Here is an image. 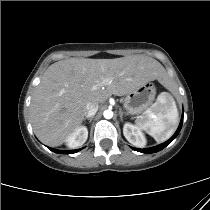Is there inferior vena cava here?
I'll return each instance as SVG.
<instances>
[{"label": "inferior vena cava", "instance_id": "inferior-vena-cava-1", "mask_svg": "<svg viewBox=\"0 0 210 210\" xmlns=\"http://www.w3.org/2000/svg\"><path fill=\"white\" fill-rule=\"evenodd\" d=\"M98 104L94 103V102H89L87 103L86 107H85V116L86 117H92L96 114V112L98 111Z\"/></svg>", "mask_w": 210, "mask_h": 210}]
</instances>
